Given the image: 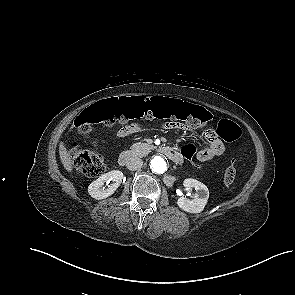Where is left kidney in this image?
Wrapping results in <instances>:
<instances>
[{
    "mask_svg": "<svg viewBox=\"0 0 295 295\" xmlns=\"http://www.w3.org/2000/svg\"><path fill=\"white\" fill-rule=\"evenodd\" d=\"M183 185L188 189L194 188L196 193L194 194L193 199H188L184 196L180 197L177 201V205L183 211L188 213L202 212L209 198V190L207 186L192 178L185 179Z\"/></svg>",
    "mask_w": 295,
    "mask_h": 295,
    "instance_id": "5707ae66",
    "label": "left kidney"
}]
</instances>
